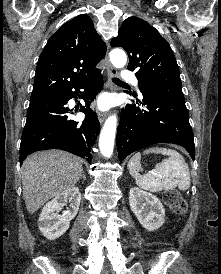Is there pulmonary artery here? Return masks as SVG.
<instances>
[{
  "instance_id": "pulmonary-artery-1",
  "label": "pulmonary artery",
  "mask_w": 221,
  "mask_h": 274,
  "mask_svg": "<svg viewBox=\"0 0 221 274\" xmlns=\"http://www.w3.org/2000/svg\"><path fill=\"white\" fill-rule=\"evenodd\" d=\"M121 77L125 81H130L134 84L138 83L135 74L130 70H123L122 73H121Z\"/></svg>"
}]
</instances>
